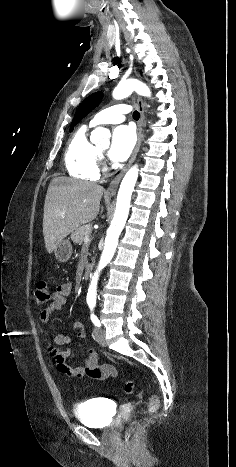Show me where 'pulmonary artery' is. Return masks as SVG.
Returning <instances> with one entry per match:
<instances>
[{"mask_svg":"<svg viewBox=\"0 0 236 467\" xmlns=\"http://www.w3.org/2000/svg\"><path fill=\"white\" fill-rule=\"evenodd\" d=\"M130 112V108L123 104L113 105L97 113L90 121V126L101 124H116L124 121L125 115Z\"/></svg>","mask_w":236,"mask_h":467,"instance_id":"obj_1","label":"pulmonary artery"}]
</instances>
